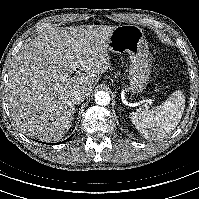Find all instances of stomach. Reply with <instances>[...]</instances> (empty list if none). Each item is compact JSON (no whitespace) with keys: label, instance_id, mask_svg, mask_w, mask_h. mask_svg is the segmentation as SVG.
Segmentation results:
<instances>
[{"label":"stomach","instance_id":"1","mask_svg":"<svg viewBox=\"0 0 199 199\" xmlns=\"http://www.w3.org/2000/svg\"><path fill=\"white\" fill-rule=\"evenodd\" d=\"M107 48L116 54H129L128 91L132 94L141 93L151 73L148 44L142 29L136 25L116 26L107 41Z\"/></svg>","mask_w":199,"mask_h":199}]
</instances>
